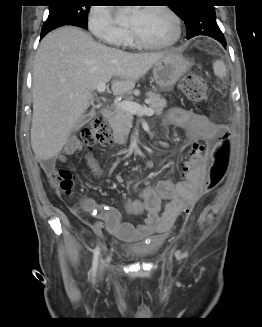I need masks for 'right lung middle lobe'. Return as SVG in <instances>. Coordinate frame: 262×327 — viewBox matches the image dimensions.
<instances>
[{
	"label": "right lung middle lobe",
	"mask_w": 262,
	"mask_h": 327,
	"mask_svg": "<svg viewBox=\"0 0 262 327\" xmlns=\"http://www.w3.org/2000/svg\"><path fill=\"white\" fill-rule=\"evenodd\" d=\"M58 3L49 6V16L42 29L61 23L75 22L87 25L89 5L80 6L74 0H56Z\"/></svg>",
	"instance_id": "right-lung-middle-lobe-1"
}]
</instances>
